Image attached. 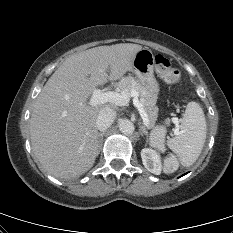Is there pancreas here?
<instances>
[{
  "label": "pancreas",
  "mask_w": 233,
  "mask_h": 233,
  "mask_svg": "<svg viewBox=\"0 0 233 233\" xmlns=\"http://www.w3.org/2000/svg\"><path fill=\"white\" fill-rule=\"evenodd\" d=\"M119 89L121 92L126 91L130 93L131 90H136L140 96V103L149 119V128L152 129V136L154 137L157 146L162 147V142L165 137V129L156 126V121L158 117V107L156 104V97L150 95L137 80L131 76L123 78L119 83Z\"/></svg>",
  "instance_id": "cf45deb5"
}]
</instances>
